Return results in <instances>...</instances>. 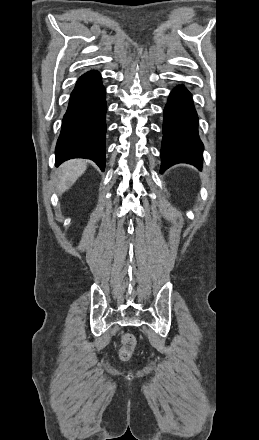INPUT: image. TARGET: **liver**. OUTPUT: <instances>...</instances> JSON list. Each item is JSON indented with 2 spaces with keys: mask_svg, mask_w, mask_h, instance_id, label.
<instances>
[{
  "mask_svg": "<svg viewBox=\"0 0 259 440\" xmlns=\"http://www.w3.org/2000/svg\"><path fill=\"white\" fill-rule=\"evenodd\" d=\"M87 163L83 159H72L63 163L56 177V187L59 195L70 189L77 179L85 172Z\"/></svg>",
  "mask_w": 259,
  "mask_h": 440,
  "instance_id": "liver-1",
  "label": "liver"
}]
</instances>
